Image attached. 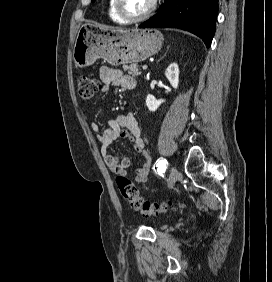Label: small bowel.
<instances>
[{"label": "small bowel", "instance_id": "1", "mask_svg": "<svg viewBox=\"0 0 272 282\" xmlns=\"http://www.w3.org/2000/svg\"><path fill=\"white\" fill-rule=\"evenodd\" d=\"M100 78L103 81L101 94H106L110 85L119 86L124 90H133L136 88V81L133 77L124 75L121 70L103 66L100 69ZM108 128L102 133L99 132V124L93 122L91 128L95 133L97 140L101 143V154L107 167L116 174H127L130 166V159L124 157L119 159L116 155L109 152V146L120 138L128 139L143 159H148V152L145 148V142L141 134L139 125L132 114L117 116L108 121ZM150 172V163L146 161L137 168L135 181L144 183L148 179Z\"/></svg>", "mask_w": 272, "mask_h": 282}]
</instances>
